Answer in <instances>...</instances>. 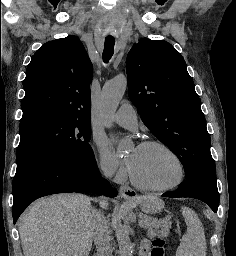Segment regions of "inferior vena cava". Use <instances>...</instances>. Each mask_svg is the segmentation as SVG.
Listing matches in <instances>:
<instances>
[{
  "instance_id": "inferior-vena-cava-1",
  "label": "inferior vena cava",
  "mask_w": 236,
  "mask_h": 256,
  "mask_svg": "<svg viewBox=\"0 0 236 256\" xmlns=\"http://www.w3.org/2000/svg\"><path fill=\"white\" fill-rule=\"evenodd\" d=\"M105 176H109L108 170L106 168H102ZM93 238L95 240L97 254L96 256H111L112 250L110 248V240L111 236H109V232L107 230L106 222L103 220L102 216H100V220L98 224H96L95 228H92Z\"/></svg>"
}]
</instances>
